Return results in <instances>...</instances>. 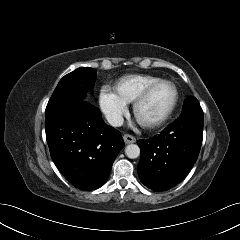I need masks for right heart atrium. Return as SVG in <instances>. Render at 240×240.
I'll return each instance as SVG.
<instances>
[{"mask_svg": "<svg viewBox=\"0 0 240 240\" xmlns=\"http://www.w3.org/2000/svg\"><path fill=\"white\" fill-rule=\"evenodd\" d=\"M99 104L107 121L114 126L122 122L128 110L127 103L108 86L102 87L99 94Z\"/></svg>", "mask_w": 240, "mask_h": 240, "instance_id": "d8ad5b80", "label": "right heart atrium"}]
</instances>
